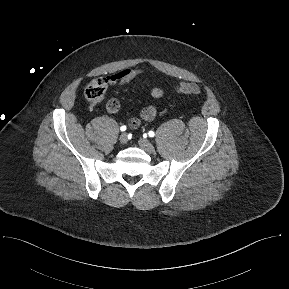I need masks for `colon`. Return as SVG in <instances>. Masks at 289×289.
<instances>
[{
    "label": "colon",
    "mask_w": 289,
    "mask_h": 289,
    "mask_svg": "<svg viewBox=\"0 0 289 289\" xmlns=\"http://www.w3.org/2000/svg\"><path fill=\"white\" fill-rule=\"evenodd\" d=\"M108 83L109 79L103 77L92 80L85 88L86 99L93 104L101 103L105 99ZM177 91L184 95H198L201 93V88L195 83H183L177 87ZM107 107L115 109L116 106L112 100H109Z\"/></svg>",
    "instance_id": "obj_1"
}]
</instances>
